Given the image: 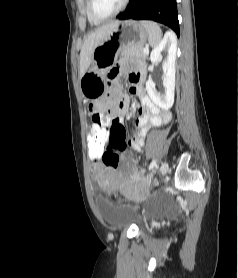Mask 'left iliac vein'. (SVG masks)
<instances>
[{"mask_svg":"<svg viewBox=\"0 0 238 278\" xmlns=\"http://www.w3.org/2000/svg\"><path fill=\"white\" fill-rule=\"evenodd\" d=\"M168 167H169V165L166 161L161 164V167H160L161 176H164L167 173Z\"/></svg>","mask_w":238,"mask_h":278,"instance_id":"1","label":"left iliac vein"}]
</instances>
